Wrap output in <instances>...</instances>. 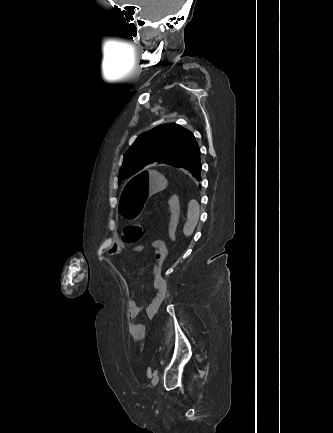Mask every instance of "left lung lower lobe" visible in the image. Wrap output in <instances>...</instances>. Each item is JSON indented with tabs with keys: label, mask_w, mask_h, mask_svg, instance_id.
I'll return each instance as SVG.
<instances>
[{
	"label": "left lung lower lobe",
	"mask_w": 333,
	"mask_h": 433,
	"mask_svg": "<svg viewBox=\"0 0 333 433\" xmlns=\"http://www.w3.org/2000/svg\"><path fill=\"white\" fill-rule=\"evenodd\" d=\"M201 159H200V154L194 158L193 160H191L190 162H188L187 164H185L182 168L187 170L189 173L192 174V176L194 178H196L198 181L201 180Z\"/></svg>",
	"instance_id": "obj_1"
}]
</instances>
